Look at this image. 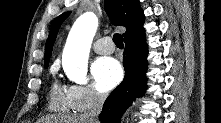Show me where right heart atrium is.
Listing matches in <instances>:
<instances>
[{
    "label": "right heart atrium",
    "instance_id": "1",
    "mask_svg": "<svg viewBox=\"0 0 221 123\" xmlns=\"http://www.w3.org/2000/svg\"><path fill=\"white\" fill-rule=\"evenodd\" d=\"M67 94L72 109L77 112L87 111L106 99V94L92 84L71 85Z\"/></svg>",
    "mask_w": 221,
    "mask_h": 123
}]
</instances>
